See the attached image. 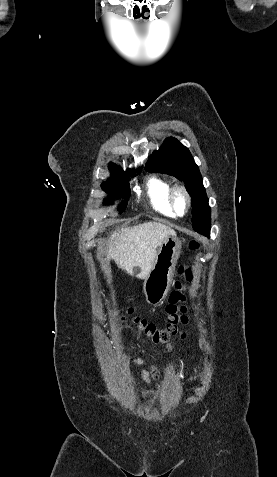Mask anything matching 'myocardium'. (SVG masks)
Wrapping results in <instances>:
<instances>
[{"instance_id": "1", "label": "myocardium", "mask_w": 277, "mask_h": 477, "mask_svg": "<svg viewBox=\"0 0 277 477\" xmlns=\"http://www.w3.org/2000/svg\"><path fill=\"white\" fill-rule=\"evenodd\" d=\"M178 195H182L185 199V208L183 211H180L177 206L176 199ZM169 203L172 210L177 216H184L185 214L189 212L191 208L192 199L186 187L183 185L177 184L172 186L169 190Z\"/></svg>"}]
</instances>
